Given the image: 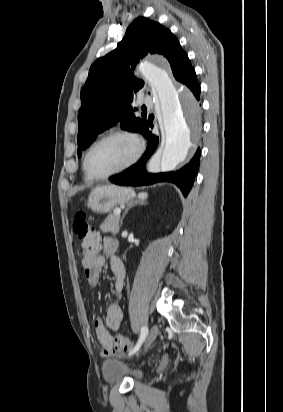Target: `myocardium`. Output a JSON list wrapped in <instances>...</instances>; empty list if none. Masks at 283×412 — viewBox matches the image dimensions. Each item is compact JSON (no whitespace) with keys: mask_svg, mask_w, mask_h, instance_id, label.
Here are the masks:
<instances>
[{"mask_svg":"<svg viewBox=\"0 0 283 412\" xmlns=\"http://www.w3.org/2000/svg\"><path fill=\"white\" fill-rule=\"evenodd\" d=\"M117 136H122V137H127L129 139H131L135 145V153L133 155V157L123 166L119 167L118 169H115L109 173L103 174V175H97L95 173H93L88 165V160H89V156L92 152V150L99 145L101 142L108 140L110 138L113 137H117ZM143 154V143L140 139V137L133 131L127 130V129H116L113 131H110L104 135H102L101 137H99L98 139H96L87 149L85 155H84V159H83V168L84 171L86 172V174L95 180H103V179H107L110 178L116 174H119L127 169H129L130 167H132L134 164L137 163V161L141 158Z\"/></svg>","mask_w":283,"mask_h":412,"instance_id":"f54148a6","label":"myocardium"}]
</instances>
